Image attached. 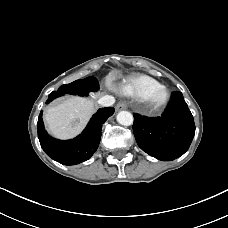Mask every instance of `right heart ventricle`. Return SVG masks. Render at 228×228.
<instances>
[{
    "mask_svg": "<svg viewBox=\"0 0 228 228\" xmlns=\"http://www.w3.org/2000/svg\"><path fill=\"white\" fill-rule=\"evenodd\" d=\"M160 85V82L150 76L134 75L122 82L120 92L123 95L142 100L151 89Z\"/></svg>",
    "mask_w": 228,
    "mask_h": 228,
    "instance_id": "e07e8e85",
    "label": "right heart ventricle"
}]
</instances>
